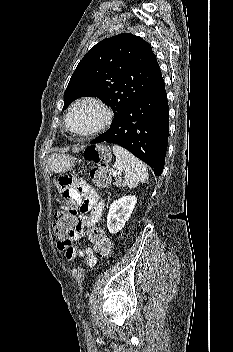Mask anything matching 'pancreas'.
<instances>
[{"label": "pancreas", "instance_id": "pancreas-1", "mask_svg": "<svg viewBox=\"0 0 233 352\" xmlns=\"http://www.w3.org/2000/svg\"><path fill=\"white\" fill-rule=\"evenodd\" d=\"M116 187H121L122 186V181L121 179H117L116 182L114 183Z\"/></svg>", "mask_w": 233, "mask_h": 352}]
</instances>
